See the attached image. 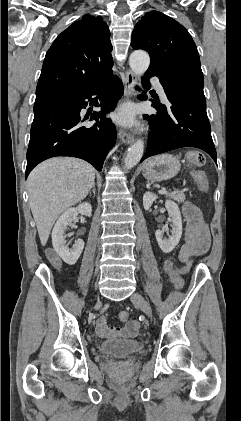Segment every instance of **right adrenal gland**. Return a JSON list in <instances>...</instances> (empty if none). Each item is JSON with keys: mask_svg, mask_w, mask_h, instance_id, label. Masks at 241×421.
I'll return each instance as SVG.
<instances>
[{"mask_svg": "<svg viewBox=\"0 0 241 421\" xmlns=\"http://www.w3.org/2000/svg\"><path fill=\"white\" fill-rule=\"evenodd\" d=\"M95 192H96V188H95V183H94L92 186V190L89 192V195L93 193V195L95 196Z\"/></svg>", "mask_w": 241, "mask_h": 421, "instance_id": "obj_1", "label": "right adrenal gland"}]
</instances>
